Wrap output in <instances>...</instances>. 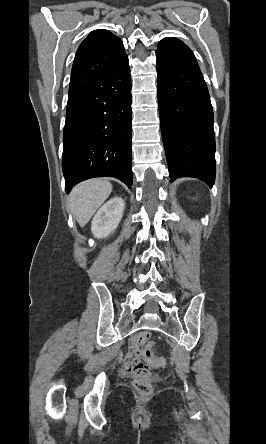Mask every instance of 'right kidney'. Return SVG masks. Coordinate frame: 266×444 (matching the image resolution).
<instances>
[{
    "mask_svg": "<svg viewBox=\"0 0 266 444\" xmlns=\"http://www.w3.org/2000/svg\"><path fill=\"white\" fill-rule=\"evenodd\" d=\"M124 206L122 198L114 197L97 211L91 223V231L96 238H105L117 228Z\"/></svg>",
    "mask_w": 266,
    "mask_h": 444,
    "instance_id": "1",
    "label": "right kidney"
}]
</instances>
